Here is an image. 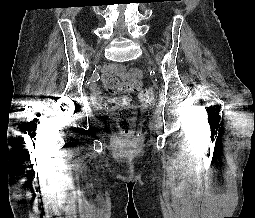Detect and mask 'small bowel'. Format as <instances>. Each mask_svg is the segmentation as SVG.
I'll return each instance as SVG.
<instances>
[{
  "instance_id": "1",
  "label": "small bowel",
  "mask_w": 255,
  "mask_h": 218,
  "mask_svg": "<svg viewBox=\"0 0 255 218\" xmlns=\"http://www.w3.org/2000/svg\"><path fill=\"white\" fill-rule=\"evenodd\" d=\"M105 77L132 81V80H139L141 78V72L136 68L126 69L121 64H108L105 66L103 71V78ZM92 95L95 100L101 99V93L96 87H93ZM126 100L127 98L124 97V98H118V99L112 100V102L121 103Z\"/></svg>"
}]
</instances>
